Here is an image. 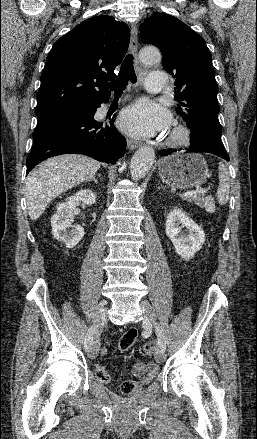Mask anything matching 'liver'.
Segmentation results:
<instances>
[{"label": "liver", "instance_id": "6515ba94", "mask_svg": "<svg viewBox=\"0 0 257 439\" xmlns=\"http://www.w3.org/2000/svg\"><path fill=\"white\" fill-rule=\"evenodd\" d=\"M100 166L98 161L77 154L56 156L40 164L28 175L25 185L30 218L37 220L54 198L91 180Z\"/></svg>", "mask_w": 257, "mask_h": 439}]
</instances>
